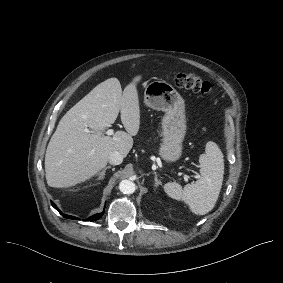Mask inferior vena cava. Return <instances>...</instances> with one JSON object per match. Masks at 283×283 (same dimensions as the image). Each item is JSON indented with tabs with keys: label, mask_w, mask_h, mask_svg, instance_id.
Listing matches in <instances>:
<instances>
[{
	"label": "inferior vena cava",
	"mask_w": 283,
	"mask_h": 283,
	"mask_svg": "<svg viewBox=\"0 0 283 283\" xmlns=\"http://www.w3.org/2000/svg\"><path fill=\"white\" fill-rule=\"evenodd\" d=\"M123 161V156L117 152V151H114V152H111L109 154V163L112 164V165H119L121 164Z\"/></svg>",
	"instance_id": "obj_1"
}]
</instances>
